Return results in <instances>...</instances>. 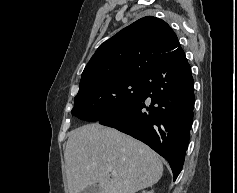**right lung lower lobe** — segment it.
<instances>
[{"label":"right lung lower lobe","instance_id":"obj_1","mask_svg":"<svg viewBox=\"0 0 237 193\" xmlns=\"http://www.w3.org/2000/svg\"><path fill=\"white\" fill-rule=\"evenodd\" d=\"M193 107L194 80L181 49L144 77L131 103L97 121L151 147L169 162L175 180L184 163Z\"/></svg>","mask_w":237,"mask_h":193}]
</instances>
